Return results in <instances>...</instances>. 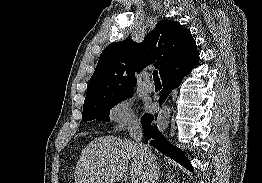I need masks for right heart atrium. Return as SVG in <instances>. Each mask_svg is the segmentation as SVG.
Instances as JSON below:
<instances>
[{
    "label": "right heart atrium",
    "mask_w": 262,
    "mask_h": 183,
    "mask_svg": "<svg viewBox=\"0 0 262 183\" xmlns=\"http://www.w3.org/2000/svg\"><path fill=\"white\" fill-rule=\"evenodd\" d=\"M111 128L115 131L132 130L139 126L133 101L122 98L112 104L107 113Z\"/></svg>",
    "instance_id": "d8ad5b80"
}]
</instances>
